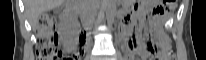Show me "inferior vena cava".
Returning <instances> with one entry per match:
<instances>
[{
	"label": "inferior vena cava",
	"mask_w": 206,
	"mask_h": 60,
	"mask_svg": "<svg viewBox=\"0 0 206 60\" xmlns=\"http://www.w3.org/2000/svg\"><path fill=\"white\" fill-rule=\"evenodd\" d=\"M86 20L89 22H95V17H94V13L93 12H87L86 13Z\"/></svg>",
	"instance_id": "602c4592"
}]
</instances>
